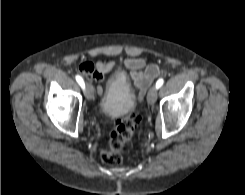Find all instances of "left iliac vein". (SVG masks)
I'll return each instance as SVG.
<instances>
[{"mask_svg":"<svg viewBox=\"0 0 245 195\" xmlns=\"http://www.w3.org/2000/svg\"><path fill=\"white\" fill-rule=\"evenodd\" d=\"M157 99V88L156 86H153L150 88L148 95H147V101L150 105H153L156 102Z\"/></svg>","mask_w":245,"mask_h":195,"instance_id":"4c4485c4","label":"left iliac vein"}]
</instances>
